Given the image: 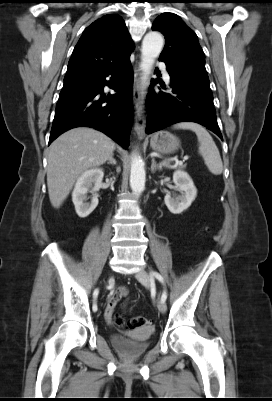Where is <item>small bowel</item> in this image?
<instances>
[{"label": "small bowel", "instance_id": "c3829d8e", "mask_svg": "<svg viewBox=\"0 0 272 401\" xmlns=\"http://www.w3.org/2000/svg\"><path fill=\"white\" fill-rule=\"evenodd\" d=\"M126 294L125 288L115 290L108 298L107 305L104 311V317L108 323H111L114 309L121 298Z\"/></svg>", "mask_w": 272, "mask_h": 401}]
</instances>
